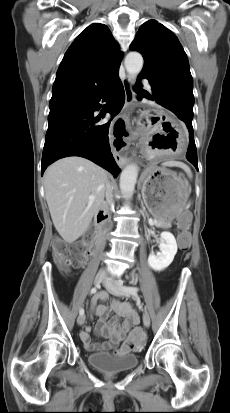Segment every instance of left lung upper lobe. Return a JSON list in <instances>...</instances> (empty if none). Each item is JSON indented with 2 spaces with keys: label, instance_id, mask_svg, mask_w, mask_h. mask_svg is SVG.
<instances>
[{
  "label": "left lung upper lobe",
  "instance_id": "left-lung-upper-lobe-1",
  "mask_svg": "<svg viewBox=\"0 0 230 413\" xmlns=\"http://www.w3.org/2000/svg\"><path fill=\"white\" fill-rule=\"evenodd\" d=\"M130 50L144 58L139 76L149 81L152 99L182 121L178 113L192 121L193 79L187 55L175 34L156 20H149L138 30Z\"/></svg>",
  "mask_w": 230,
  "mask_h": 413
}]
</instances>
